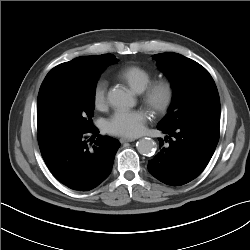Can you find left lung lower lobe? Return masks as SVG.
Listing matches in <instances>:
<instances>
[{
  "instance_id": "left-lung-lower-lobe-1",
  "label": "left lung lower lobe",
  "mask_w": 250,
  "mask_h": 250,
  "mask_svg": "<svg viewBox=\"0 0 250 250\" xmlns=\"http://www.w3.org/2000/svg\"><path fill=\"white\" fill-rule=\"evenodd\" d=\"M220 116L188 121L178 128L159 127L168 136L159 138L160 152L148 162L159 181L180 186L195 179L210 161L219 140Z\"/></svg>"
}]
</instances>
